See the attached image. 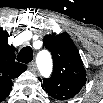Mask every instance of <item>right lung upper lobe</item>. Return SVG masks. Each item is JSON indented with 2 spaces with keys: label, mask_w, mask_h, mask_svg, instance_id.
<instances>
[{
  "label": "right lung upper lobe",
  "mask_w": 103,
  "mask_h": 103,
  "mask_svg": "<svg viewBox=\"0 0 103 103\" xmlns=\"http://www.w3.org/2000/svg\"><path fill=\"white\" fill-rule=\"evenodd\" d=\"M9 34L0 28V91L1 95L9 94L12 79L18 77L27 66L15 61V48L8 45Z\"/></svg>",
  "instance_id": "obj_1"
}]
</instances>
